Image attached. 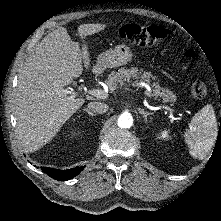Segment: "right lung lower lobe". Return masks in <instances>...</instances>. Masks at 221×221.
<instances>
[{
  "label": "right lung lower lobe",
  "mask_w": 221,
  "mask_h": 221,
  "mask_svg": "<svg viewBox=\"0 0 221 221\" xmlns=\"http://www.w3.org/2000/svg\"><path fill=\"white\" fill-rule=\"evenodd\" d=\"M83 168L84 166L75 167L69 170H59V169L47 168V167H42L41 169L44 173H46L53 179H56L59 181H66L78 175L83 170Z\"/></svg>",
  "instance_id": "obj_1"
}]
</instances>
